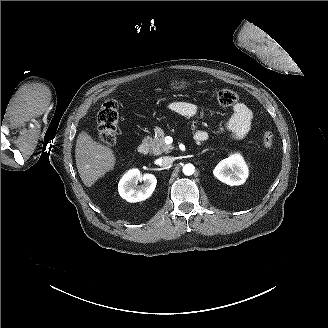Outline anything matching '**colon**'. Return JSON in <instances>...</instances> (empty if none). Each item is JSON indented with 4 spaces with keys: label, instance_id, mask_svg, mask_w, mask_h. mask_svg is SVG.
Instances as JSON below:
<instances>
[{
    "label": "colon",
    "instance_id": "1",
    "mask_svg": "<svg viewBox=\"0 0 328 328\" xmlns=\"http://www.w3.org/2000/svg\"><path fill=\"white\" fill-rule=\"evenodd\" d=\"M214 96L221 106H230L238 100L237 94L227 88H216ZM119 120L118 103L114 99L105 101L98 112L97 124L99 131V140L108 146L116 142V131ZM273 145V134L271 131H265L263 135V146L270 149Z\"/></svg>",
    "mask_w": 328,
    "mask_h": 328
}]
</instances>
